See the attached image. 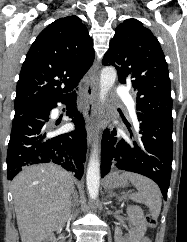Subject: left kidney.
<instances>
[{
    "instance_id": "obj_1",
    "label": "left kidney",
    "mask_w": 187,
    "mask_h": 242,
    "mask_svg": "<svg viewBox=\"0 0 187 242\" xmlns=\"http://www.w3.org/2000/svg\"><path fill=\"white\" fill-rule=\"evenodd\" d=\"M129 232L123 236L122 228L115 229V242H140L146 233V220L143 210L139 206H129L127 208Z\"/></svg>"
}]
</instances>
